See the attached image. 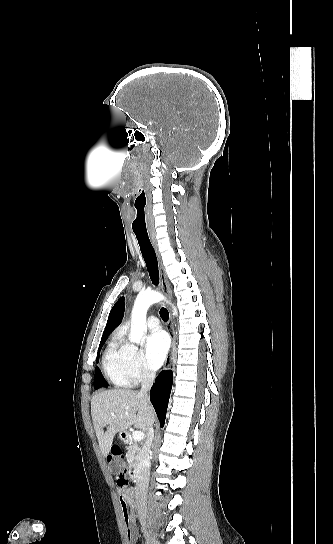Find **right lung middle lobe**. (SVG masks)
Here are the masks:
<instances>
[{
	"label": "right lung middle lobe",
	"mask_w": 333,
	"mask_h": 544,
	"mask_svg": "<svg viewBox=\"0 0 333 544\" xmlns=\"http://www.w3.org/2000/svg\"><path fill=\"white\" fill-rule=\"evenodd\" d=\"M106 339H107V338L101 339V342H100V345H99V352H98V354H97V362H98V360H99L100 350H101V348H102V346H103V344H104V342H105ZM103 386H107V383H106L105 379L103 378V376H102V374H101L99 368L97 367V368L95 369L94 388H95V389H98V388H101V387H103Z\"/></svg>",
	"instance_id": "right-lung-middle-lobe-1"
}]
</instances>
